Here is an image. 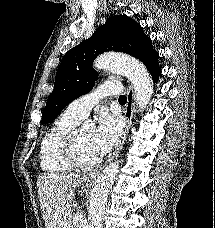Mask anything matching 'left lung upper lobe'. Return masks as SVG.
I'll list each match as a JSON object with an SVG mask.
<instances>
[{
	"label": "left lung upper lobe",
	"instance_id": "obj_1",
	"mask_svg": "<svg viewBox=\"0 0 215 228\" xmlns=\"http://www.w3.org/2000/svg\"><path fill=\"white\" fill-rule=\"evenodd\" d=\"M107 51L130 54L145 65L156 53L140 24L126 15L111 16L89 39L64 55L56 73L54 90L43 110L42 124L53 121L70 102L93 88L98 75L92 63Z\"/></svg>",
	"mask_w": 215,
	"mask_h": 228
}]
</instances>
